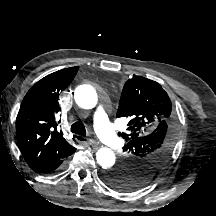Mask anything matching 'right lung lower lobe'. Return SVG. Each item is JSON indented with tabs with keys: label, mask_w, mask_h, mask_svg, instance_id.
<instances>
[{
	"label": "right lung lower lobe",
	"mask_w": 216,
	"mask_h": 216,
	"mask_svg": "<svg viewBox=\"0 0 216 216\" xmlns=\"http://www.w3.org/2000/svg\"><path fill=\"white\" fill-rule=\"evenodd\" d=\"M64 160L54 164L53 166L43 170L42 172L40 173H50V172H53L55 169H57L58 167H60V165L63 163Z\"/></svg>",
	"instance_id": "obj_1"
}]
</instances>
